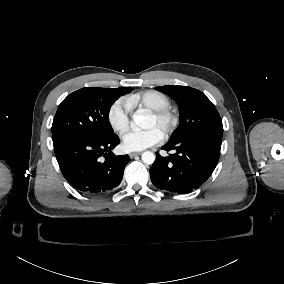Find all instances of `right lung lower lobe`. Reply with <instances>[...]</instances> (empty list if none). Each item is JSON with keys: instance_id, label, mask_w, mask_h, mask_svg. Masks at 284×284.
<instances>
[{"instance_id": "1", "label": "right lung lower lobe", "mask_w": 284, "mask_h": 284, "mask_svg": "<svg viewBox=\"0 0 284 284\" xmlns=\"http://www.w3.org/2000/svg\"><path fill=\"white\" fill-rule=\"evenodd\" d=\"M119 142L114 133L75 137L54 146V152L63 176L74 188L85 194H102L120 184L130 161L128 155L115 156L110 151Z\"/></svg>"}]
</instances>
